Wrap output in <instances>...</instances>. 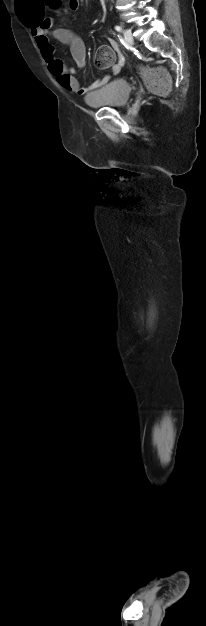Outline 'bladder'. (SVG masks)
Wrapping results in <instances>:
<instances>
[{"label":"bladder","instance_id":"31cf9c89","mask_svg":"<svg viewBox=\"0 0 206 626\" xmlns=\"http://www.w3.org/2000/svg\"><path fill=\"white\" fill-rule=\"evenodd\" d=\"M131 95L130 84L121 78L113 79L84 98L92 108H120L127 104Z\"/></svg>","mask_w":206,"mask_h":626}]
</instances>
